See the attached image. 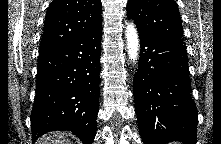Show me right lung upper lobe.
I'll return each instance as SVG.
<instances>
[{"mask_svg":"<svg viewBox=\"0 0 221 144\" xmlns=\"http://www.w3.org/2000/svg\"><path fill=\"white\" fill-rule=\"evenodd\" d=\"M101 0H53L46 14L39 55L102 27Z\"/></svg>","mask_w":221,"mask_h":144,"instance_id":"obj_1","label":"right lung upper lobe"}]
</instances>
